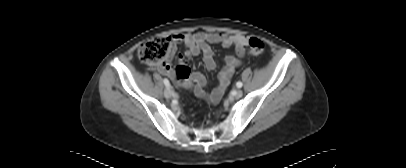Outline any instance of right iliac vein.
<instances>
[{"label":"right iliac vein","instance_id":"63e3f726","mask_svg":"<svg viewBox=\"0 0 406 168\" xmlns=\"http://www.w3.org/2000/svg\"><path fill=\"white\" fill-rule=\"evenodd\" d=\"M164 96H165V98H167V99L171 98V92H170L169 89H165V90H164Z\"/></svg>","mask_w":406,"mask_h":168}]
</instances>
